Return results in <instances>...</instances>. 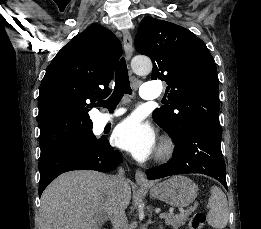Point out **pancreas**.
<instances>
[{"instance_id":"obj_1","label":"pancreas","mask_w":261,"mask_h":229,"mask_svg":"<svg viewBox=\"0 0 261 229\" xmlns=\"http://www.w3.org/2000/svg\"><path fill=\"white\" fill-rule=\"evenodd\" d=\"M190 213H192V209H189V211H184V213H179V215H172V217H166L165 225H170L172 229H179V227L185 225V221H187Z\"/></svg>"}]
</instances>
